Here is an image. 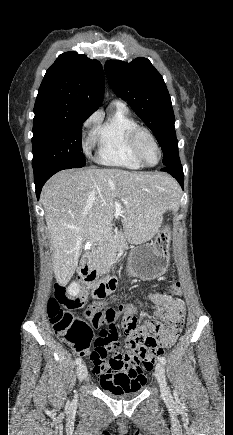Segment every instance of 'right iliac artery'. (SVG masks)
<instances>
[{
  "instance_id": "right-iliac-artery-1",
  "label": "right iliac artery",
  "mask_w": 233,
  "mask_h": 435,
  "mask_svg": "<svg viewBox=\"0 0 233 435\" xmlns=\"http://www.w3.org/2000/svg\"><path fill=\"white\" fill-rule=\"evenodd\" d=\"M82 362V359L80 357L76 358L75 364L79 365Z\"/></svg>"
}]
</instances>
